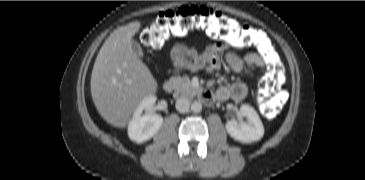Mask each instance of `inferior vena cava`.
Returning a JSON list of instances; mask_svg holds the SVG:
<instances>
[{"mask_svg":"<svg viewBox=\"0 0 365 180\" xmlns=\"http://www.w3.org/2000/svg\"><path fill=\"white\" fill-rule=\"evenodd\" d=\"M175 107L180 113H185L189 110L190 102L186 97H180L176 100Z\"/></svg>","mask_w":365,"mask_h":180,"instance_id":"inferior-vena-cava-1","label":"inferior vena cava"}]
</instances>
